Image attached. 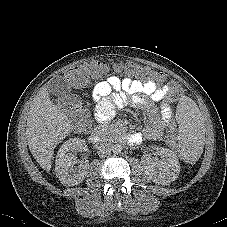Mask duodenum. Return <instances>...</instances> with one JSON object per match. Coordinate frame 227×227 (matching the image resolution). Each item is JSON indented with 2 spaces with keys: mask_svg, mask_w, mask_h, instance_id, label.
<instances>
[{
  "mask_svg": "<svg viewBox=\"0 0 227 227\" xmlns=\"http://www.w3.org/2000/svg\"><path fill=\"white\" fill-rule=\"evenodd\" d=\"M105 132L102 129H97L89 133V140L91 143L98 145L105 137Z\"/></svg>",
  "mask_w": 227,
  "mask_h": 227,
  "instance_id": "1",
  "label": "duodenum"
}]
</instances>
